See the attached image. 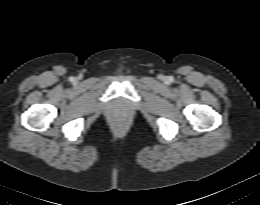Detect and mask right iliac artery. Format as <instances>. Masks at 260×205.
Masks as SVG:
<instances>
[{
	"label": "right iliac artery",
	"mask_w": 260,
	"mask_h": 205,
	"mask_svg": "<svg viewBox=\"0 0 260 205\" xmlns=\"http://www.w3.org/2000/svg\"><path fill=\"white\" fill-rule=\"evenodd\" d=\"M70 80H71V81H73V80H74V78H73V77H70Z\"/></svg>",
	"instance_id": "right-iliac-artery-1"
}]
</instances>
